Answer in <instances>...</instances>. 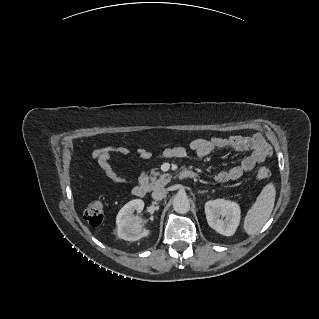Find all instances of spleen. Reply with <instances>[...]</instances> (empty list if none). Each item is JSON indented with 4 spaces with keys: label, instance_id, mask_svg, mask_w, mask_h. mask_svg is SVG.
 Wrapping results in <instances>:
<instances>
[{
    "label": "spleen",
    "instance_id": "3e777b00",
    "mask_svg": "<svg viewBox=\"0 0 319 319\" xmlns=\"http://www.w3.org/2000/svg\"><path fill=\"white\" fill-rule=\"evenodd\" d=\"M275 197L274 184H267L245 216L243 229L247 234L257 233L267 222L274 208Z\"/></svg>",
    "mask_w": 319,
    "mask_h": 319
}]
</instances>
